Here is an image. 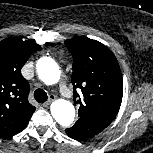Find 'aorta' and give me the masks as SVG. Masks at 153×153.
<instances>
[{
  "label": "aorta",
  "mask_w": 153,
  "mask_h": 153,
  "mask_svg": "<svg viewBox=\"0 0 153 153\" xmlns=\"http://www.w3.org/2000/svg\"><path fill=\"white\" fill-rule=\"evenodd\" d=\"M39 78L48 85L58 82L60 69L57 63L49 57L40 58L36 64ZM53 118L63 127L69 126L75 117V108L71 102L59 99L51 104Z\"/></svg>",
  "instance_id": "1"
}]
</instances>
